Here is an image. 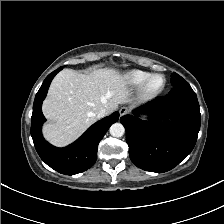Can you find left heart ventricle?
I'll return each instance as SVG.
<instances>
[{"label": "left heart ventricle", "instance_id": "left-heart-ventricle-1", "mask_svg": "<svg viewBox=\"0 0 224 224\" xmlns=\"http://www.w3.org/2000/svg\"><path fill=\"white\" fill-rule=\"evenodd\" d=\"M164 85V78L162 76H155L149 82V89L152 91L160 89Z\"/></svg>", "mask_w": 224, "mask_h": 224}]
</instances>
